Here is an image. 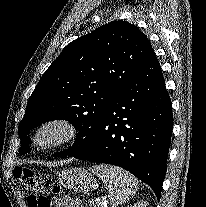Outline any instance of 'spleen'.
Instances as JSON below:
<instances>
[{"instance_id":"1","label":"spleen","mask_w":206,"mask_h":207,"mask_svg":"<svg viewBox=\"0 0 206 207\" xmlns=\"http://www.w3.org/2000/svg\"><path fill=\"white\" fill-rule=\"evenodd\" d=\"M90 171L104 182L112 204H124L137 191V179L122 168L100 164L90 167Z\"/></svg>"}]
</instances>
